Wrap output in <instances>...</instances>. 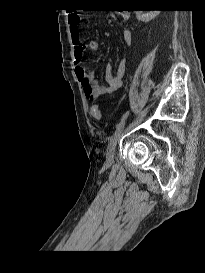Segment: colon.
<instances>
[{
	"instance_id": "5ec220e1",
	"label": "colon",
	"mask_w": 205,
	"mask_h": 273,
	"mask_svg": "<svg viewBox=\"0 0 205 273\" xmlns=\"http://www.w3.org/2000/svg\"><path fill=\"white\" fill-rule=\"evenodd\" d=\"M91 115L93 116L94 119L100 120L101 118V109L98 105H93L91 107Z\"/></svg>"
}]
</instances>
